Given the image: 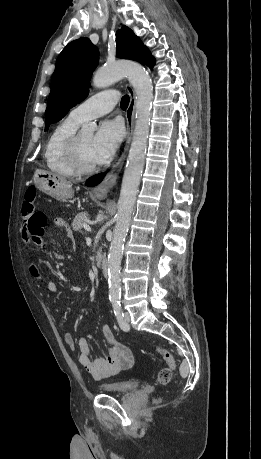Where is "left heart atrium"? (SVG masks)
Instances as JSON below:
<instances>
[{"label":"left heart atrium","instance_id":"obj_1","mask_svg":"<svg viewBox=\"0 0 261 459\" xmlns=\"http://www.w3.org/2000/svg\"><path fill=\"white\" fill-rule=\"evenodd\" d=\"M124 137L122 124L118 120L103 121L93 137V159L96 164L109 162Z\"/></svg>","mask_w":261,"mask_h":459}]
</instances>
